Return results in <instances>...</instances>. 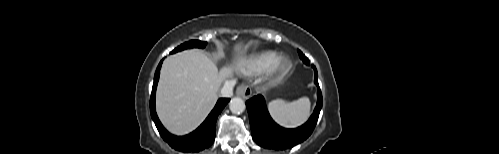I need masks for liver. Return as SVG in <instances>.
<instances>
[{
	"label": "liver",
	"mask_w": 499,
	"mask_h": 154,
	"mask_svg": "<svg viewBox=\"0 0 499 154\" xmlns=\"http://www.w3.org/2000/svg\"><path fill=\"white\" fill-rule=\"evenodd\" d=\"M241 50V44L234 47ZM244 65L238 58L235 65L220 70L197 49L185 50L165 59L157 87L156 109L168 131L185 135L196 129L213 109L222 82L231 78L235 67Z\"/></svg>",
	"instance_id": "obj_1"
}]
</instances>
